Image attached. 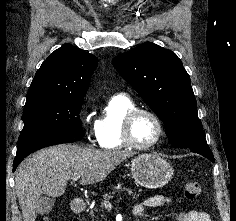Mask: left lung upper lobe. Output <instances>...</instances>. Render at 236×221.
<instances>
[{"label": "left lung upper lobe", "instance_id": "left-lung-upper-lobe-1", "mask_svg": "<svg viewBox=\"0 0 236 221\" xmlns=\"http://www.w3.org/2000/svg\"><path fill=\"white\" fill-rule=\"evenodd\" d=\"M113 64L163 121L174 147L208 146L190 77L174 52L145 42L116 56Z\"/></svg>", "mask_w": 236, "mask_h": 221}]
</instances>
